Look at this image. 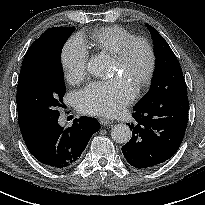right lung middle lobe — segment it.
Masks as SVG:
<instances>
[{
	"label": "right lung middle lobe",
	"mask_w": 205,
	"mask_h": 205,
	"mask_svg": "<svg viewBox=\"0 0 205 205\" xmlns=\"http://www.w3.org/2000/svg\"><path fill=\"white\" fill-rule=\"evenodd\" d=\"M75 28L54 27L32 48L20 72L17 103L38 125L59 115L65 94L61 50Z\"/></svg>",
	"instance_id": "right-lung-middle-lobe-1"
}]
</instances>
